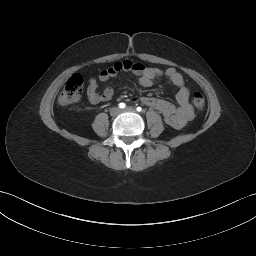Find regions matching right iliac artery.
I'll use <instances>...</instances> for the list:
<instances>
[{
    "label": "right iliac artery",
    "mask_w": 256,
    "mask_h": 256,
    "mask_svg": "<svg viewBox=\"0 0 256 256\" xmlns=\"http://www.w3.org/2000/svg\"><path fill=\"white\" fill-rule=\"evenodd\" d=\"M125 107H126L125 103L122 102V103L119 104V108L124 109Z\"/></svg>",
    "instance_id": "82829eb1"
}]
</instances>
